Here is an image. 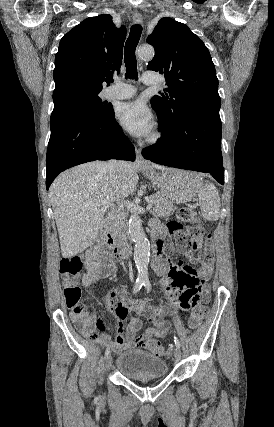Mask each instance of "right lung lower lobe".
Here are the masks:
<instances>
[{"label": "right lung lower lobe", "mask_w": 274, "mask_h": 427, "mask_svg": "<svg viewBox=\"0 0 274 427\" xmlns=\"http://www.w3.org/2000/svg\"><path fill=\"white\" fill-rule=\"evenodd\" d=\"M135 160V149L116 122L114 110L101 117L78 114L56 122L47 149L46 187L75 165L94 160Z\"/></svg>", "instance_id": "obj_1"}]
</instances>
